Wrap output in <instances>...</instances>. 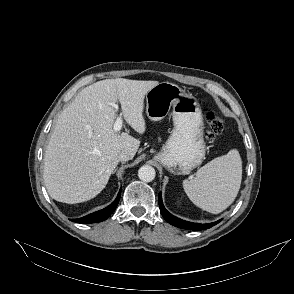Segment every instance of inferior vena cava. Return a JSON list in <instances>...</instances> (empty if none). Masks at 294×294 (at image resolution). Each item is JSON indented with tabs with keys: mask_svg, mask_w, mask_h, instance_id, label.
Segmentation results:
<instances>
[{
	"mask_svg": "<svg viewBox=\"0 0 294 294\" xmlns=\"http://www.w3.org/2000/svg\"><path fill=\"white\" fill-rule=\"evenodd\" d=\"M132 158H133L132 155L129 152L124 150L121 151L117 156L118 161H121V162L129 161Z\"/></svg>",
	"mask_w": 294,
	"mask_h": 294,
	"instance_id": "602c4592",
	"label": "inferior vena cava"
}]
</instances>
